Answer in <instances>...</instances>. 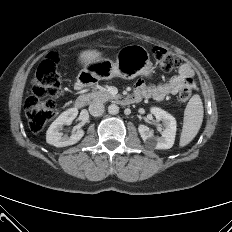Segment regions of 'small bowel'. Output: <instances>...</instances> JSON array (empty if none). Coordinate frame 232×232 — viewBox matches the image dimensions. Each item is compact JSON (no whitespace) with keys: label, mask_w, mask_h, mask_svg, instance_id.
Segmentation results:
<instances>
[{"label":"small bowel","mask_w":232,"mask_h":232,"mask_svg":"<svg viewBox=\"0 0 232 232\" xmlns=\"http://www.w3.org/2000/svg\"><path fill=\"white\" fill-rule=\"evenodd\" d=\"M194 75L193 69L190 64L183 63L179 68L178 75L166 79L157 85H148L142 80H138L134 86V95L142 98H152L155 100H162L169 95H175L184 85L188 78Z\"/></svg>","instance_id":"1"}]
</instances>
